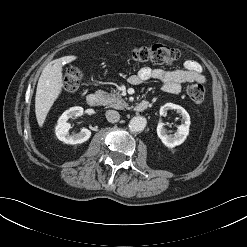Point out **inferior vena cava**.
<instances>
[{
    "label": "inferior vena cava",
    "mask_w": 247,
    "mask_h": 247,
    "mask_svg": "<svg viewBox=\"0 0 247 247\" xmlns=\"http://www.w3.org/2000/svg\"><path fill=\"white\" fill-rule=\"evenodd\" d=\"M105 116L106 119L111 123H116L120 119V114L115 110H107Z\"/></svg>",
    "instance_id": "602c4592"
}]
</instances>
